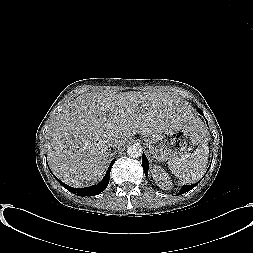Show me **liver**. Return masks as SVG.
<instances>
[{
  "mask_svg": "<svg viewBox=\"0 0 253 253\" xmlns=\"http://www.w3.org/2000/svg\"><path fill=\"white\" fill-rule=\"evenodd\" d=\"M188 125L206 133L177 96L162 92H89L68 102L47 132V158L53 173L67 185L99 182L108 164L113 134L123 146L135 134L149 136Z\"/></svg>",
  "mask_w": 253,
  "mask_h": 253,
  "instance_id": "1",
  "label": "liver"
}]
</instances>
